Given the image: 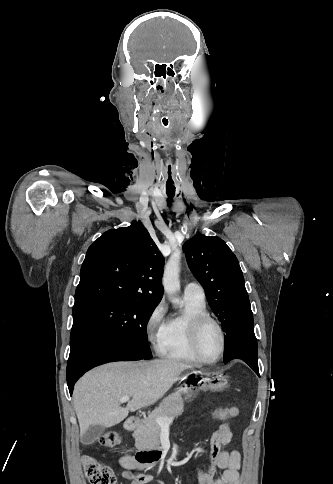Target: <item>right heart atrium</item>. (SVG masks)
<instances>
[{"mask_svg":"<svg viewBox=\"0 0 333 484\" xmlns=\"http://www.w3.org/2000/svg\"><path fill=\"white\" fill-rule=\"evenodd\" d=\"M164 316L165 305L161 301L151 310L145 322L146 337L150 344L156 349L160 346Z\"/></svg>","mask_w":333,"mask_h":484,"instance_id":"1","label":"right heart atrium"}]
</instances>
